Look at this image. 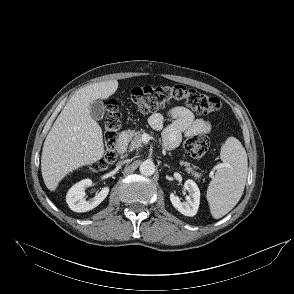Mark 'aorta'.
I'll list each match as a JSON object with an SVG mask.
<instances>
[{
	"label": "aorta",
	"instance_id": "1",
	"mask_svg": "<svg viewBox=\"0 0 294 294\" xmlns=\"http://www.w3.org/2000/svg\"><path fill=\"white\" fill-rule=\"evenodd\" d=\"M140 173L145 176H152L155 173V165L152 161L146 160L140 165Z\"/></svg>",
	"mask_w": 294,
	"mask_h": 294
}]
</instances>
